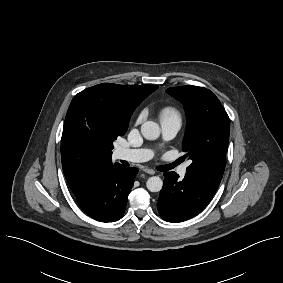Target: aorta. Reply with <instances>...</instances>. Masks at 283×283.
Returning <instances> with one entry per match:
<instances>
[{"instance_id": "1", "label": "aorta", "mask_w": 283, "mask_h": 283, "mask_svg": "<svg viewBox=\"0 0 283 283\" xmlns=\"http://www.w3.org/2000/svg\"><path fill=\"white\" fill-rule=\"evenodd\" d=\"M141 133L147 140H156L160 136V127L156 122L147 121L142 124ZM146 186L151 192H159L162 189L163 181L160 177L153 176L147 180Z\"/></svg>"}]
</instances>
